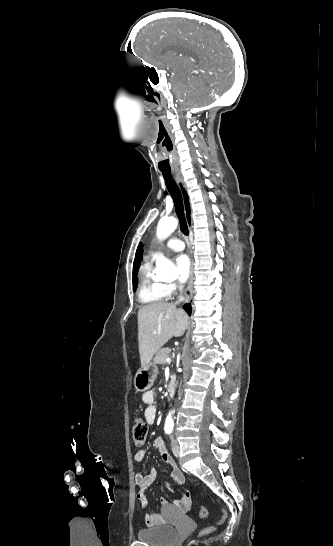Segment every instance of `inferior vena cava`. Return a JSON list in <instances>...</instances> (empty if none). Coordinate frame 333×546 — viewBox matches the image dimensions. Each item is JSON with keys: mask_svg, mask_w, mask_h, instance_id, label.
<instances>
[{"mask_svg": "<svg viewBox=\"0 0 333 546\" xmlns=\"http://www.w3.org/2000/svg\"><path fill=\"white\" fill-rule=\"evenodd\" d=\"M184 301V298L182 296L179 297L178 302Z\"/></svg>", "mask_w": 333, "mask_h": 546, "instance_id": "inferior-vena-cava-1", "label": "inferior vena cava"}]
</instances>
